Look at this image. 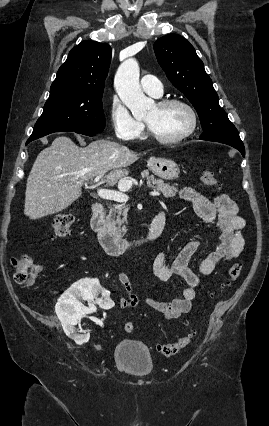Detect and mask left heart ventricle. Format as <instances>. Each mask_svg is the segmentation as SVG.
<instances>
[{
    "label": "left heart ventricle",
    "mask_w": 269,
    "mask_h": 426,
    "mask_svg": "<svg viewBox=\"0 0 269 426\" xmlns=\"http://www.w3.org/2000/svg\"><path fill=\"white\" fill-rule=\"evenodd\" d=\"M144 120L152 131L164 138L179 136L191 124L189 112L181 105L161 108L156 104Z\"/></svg>",
    "instance_id": "obj_1"
}]
</instances>
